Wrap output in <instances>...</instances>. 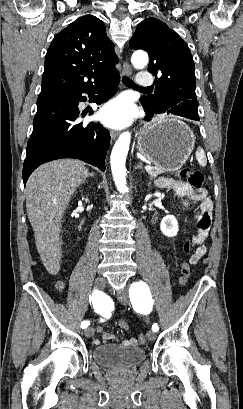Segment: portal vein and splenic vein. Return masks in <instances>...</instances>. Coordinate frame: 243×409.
Returning a JSON list of instances; mask_svg holds the SVG:
<instances>
[{
	"label": "portal vein and splenic vein",
	"mask_w": 243,
	"mask_h": 409,
	"mask_svg": "<svg viewBox=\"0 0 243 409\" xmlns=\"http://www.w3.org/2000/svg\"><path fill=\"white\" fill-rule=\"evenodd\" d=\"M145 169H146V170H150V169H151V166H150V165H146V166H145Z\"/></svg>",
	"instance_id": "1"
}]
</instances>
